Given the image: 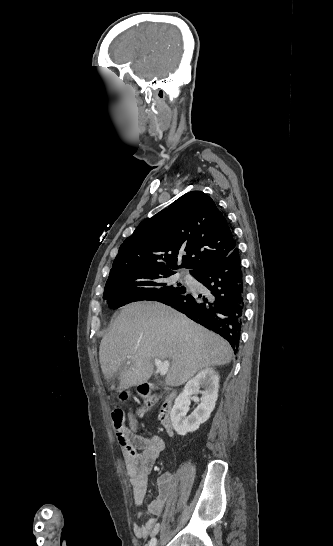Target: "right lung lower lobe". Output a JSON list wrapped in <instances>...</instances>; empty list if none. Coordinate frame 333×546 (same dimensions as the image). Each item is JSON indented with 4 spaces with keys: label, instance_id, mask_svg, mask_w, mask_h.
Returning a JSON list of instances; mask_svg holds the SVG:
<instances>
[{
    "label": "right lung lower lobe",
    "instance_id": "obj_1",
    "mask_svg": "<svg viewBox=\"0 0 333 546\" xmlns=\"http://www.w3.org/2000/svg\"><path fill=\"white\" fill-rule=\"evenodd\" d=\"M193 277L209 292L171 295L157 301L169 305L188 318L225 338L237 354L244 318V280L238 249L212 263Z\"/></svg>",
    "mask_w": 333,
    "mask_h": 546
}]
</instances>
